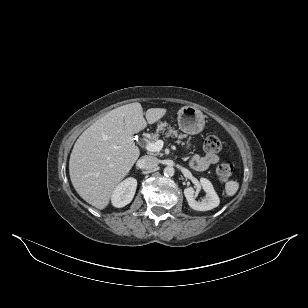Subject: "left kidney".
<instances>
[{"label":"left kidney","instance_id":"left-kidney-1","mask_svg":"<svg viewBox=\"0 0 308 308\" xmlns=\"http://www.w3.org/2000/svg\"><path fill=\"white\" fill-rule=\"evenodd\" d=\"M200 184L206 193L205 198H203L201 201L195 200V190L193 187H188L184 189V195L186 197L188 205L192 209L197 211H208L213 208H216L219 205L220 200L213 188V185L206 178H201Z\"/></svg>","mask_w":308,"mask_h":308}]
</instances>
